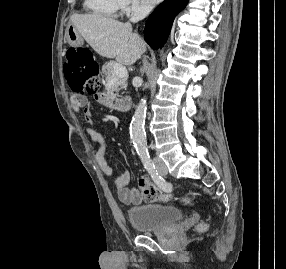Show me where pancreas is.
<instances>
[{
	"instance_id": "1",
	"label": "pancreas",
	"mask_w": 286,
	"mask_h": 269,
	"mask_svg": "<svg viewBox=\"0 0 286 269\" xmlns=\"http://www.w3.org/2000/svg\"><path fill=\"white\" fill-rule=\"evenodd\" d=\"M115 61L107 62L102 67V73L105 76L106 82L114 80L115 83L109 92L104 93V97L108 102H113L118 96L119 91L124 88L127 80V75L124 77L116 76L114 73Z\"/></svg>"
}]
</instances>
